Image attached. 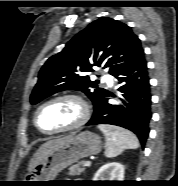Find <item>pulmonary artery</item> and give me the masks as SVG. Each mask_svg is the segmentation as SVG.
Instances as JSON below:
<instances>
[{
    "mask_svg": "<svg viewBox=\"0 0 178 186\" xmlns=\"http://www.w3.org/2000/svg\"><path fill=\"white\" fill-rule=\"evenodd\" d=\"M107 78H108V77H107V76H105V79H107ZM108 83H109V85H110V86H112V84H113V83H112V81H110V80H109V82H108Z\"/></svg>",
    "mask_w": 178,
    "mask_h": 186,
    "instance_id": "1",
    "label": "pulmonary artery"
}]
</instances>
